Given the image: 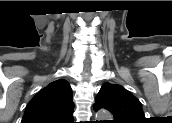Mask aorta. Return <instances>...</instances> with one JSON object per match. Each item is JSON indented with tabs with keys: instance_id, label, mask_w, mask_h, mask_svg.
<instances>
[{
	"instance_id": "aorta-1",
	"label": "aorta",
	"mask_w": 172,
	"mask_h": 123,
	"mask_svg": "<svg viewBox=\"0 0 172 123\" xmlns=\"http://www.w3.org/2000/svg\"><path fill=\"white\" fill-rule=\"evenodd\" d=\"M110 114L109 112H107L106 110L102 109V110H99L96 114V118L97 119H105V118H110Z\"/></svg>"
}]
</instances>
